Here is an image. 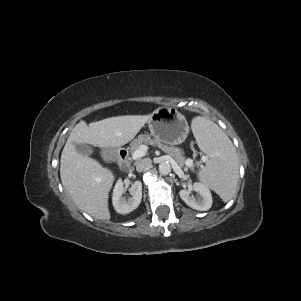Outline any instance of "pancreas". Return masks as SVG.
I'll use <instances>...</instances> for the list:
<instances>
[{"instance_id": "obj_1", "label": "pancreas", "mask_w": 301, "mask_h": 301, "mask_svg": "<svg viewBox=\"0 0 301 301\" xmlns=\"http://www.w3.org/2000/svg\"><path fill=\"white\" fill-rule=\"evenodd\" d=\"M143 144L157 146L162 151L172 156L180 166H183L186 162V159L182 155L180 148L167 146L156 139H152L149 135L143 134L139 135L130 144L131 153H134Z\"/></svg>"}]
</instances>
